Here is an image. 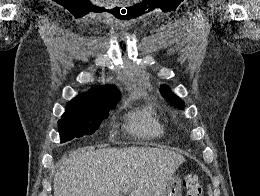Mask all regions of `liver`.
<instances>
[{
  "mask_svg": "<svg viewBox=\"0 0 260 196\" xmlns=\"http://www.w3.org/2000/svg\"><path fill=\"white\" fill-rule=\"evenodd\" d=\"M183 162L159 148H79L57 170L54 196H161Z\"/></svg>",
  "mask_w": 260,
  "mask_h": 196,
  "instance_id": "6515ba94",
  "label": "liver"
}]
</instances>
